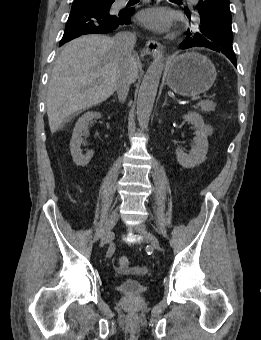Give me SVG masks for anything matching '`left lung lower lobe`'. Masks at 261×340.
Returning <instances> with one entry per match:
<instances>
[{
    "label": "left lung lower lobe",
    "instance_id": "0a47b994",
    "mask_svg": "<svg viewBox=\"0 0 261 340\" xmlns=\"http://www.w3.org/2000/svg\"><path fill=\"white\" fill-rule=\"evenodd\" d=\"M215 12L224 13L226 16L231 17L229 5L219 1H204L199 11L200 19L203 21H210L215 16ZM195 46H198L197 40L193 37H186V39L181 43L182 49ZM221 53L225 54L236 66V56L233 50H222Z\"/></svg>",
    "mask_w": 261,
    "mask_h": 340
}]
</instances>
